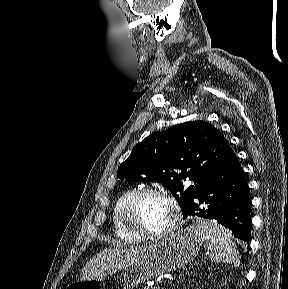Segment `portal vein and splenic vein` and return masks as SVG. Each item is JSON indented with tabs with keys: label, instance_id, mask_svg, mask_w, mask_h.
I'll use <instances>...</instances> for the list:
<instances>
[{
	"label": "portal vein and splenic vein",
	"instance_id": "portal-vein-and-splenic-vein-1",
	"mask_svg": "<svg viewBox=\"0 0 288 289\" xmlns=\"http://www.w3.org/2000/svg\"><path fill=\"white\" fill-rule=\"evenodd\" d=\"M153 289H159V287L158 286H154Z\"/></svg>",
	"mask_w": 288,
	"mask_h": 289
}]
</instances>
